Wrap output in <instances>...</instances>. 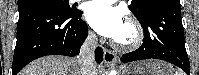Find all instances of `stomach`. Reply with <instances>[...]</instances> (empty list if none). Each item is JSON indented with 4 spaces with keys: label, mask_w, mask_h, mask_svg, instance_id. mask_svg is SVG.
I'll return each instance as SVG.
<instances>
[{
    "label": "stomach",
    "mask_w": 199,
    "mask_h": 75,
    "mask_svg": "<svg viewBox=\"0 0 199 75\" xmlns=\"http://www.w3.org/2000/svg\"><path fill=\"white\" fill-rule=\"evenodd\" d=\"M122 75H172V70L165 62L139 61L125 65Z\"/></svg>",
    "instance_id": "1"
}]
</instances>
